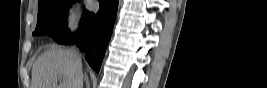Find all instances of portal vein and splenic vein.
I'll use <instances>...</instances> for the list:
<instances>
[{"label": "portal vein and splenic vein", "instance_id": "portal-vein-and-splenic-vein-1", "mask_svg": "<svg viewBox=\"0 0 267 88\" xmlns=\"http://www.w3.org/2000/svg\"><path fill=\"white\" fill-rule=\"evenodd\" d=\"M60 78H61V79H64V77H63V76H60ZM63 88H65V86H63Z\"/></svg>", "mask_w": 267, "mask_h": 88}]
</instances>
